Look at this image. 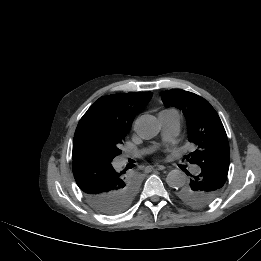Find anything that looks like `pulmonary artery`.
I'll use <instances>...</instances> for the list:
<instances>
[{
	"mask_svg": "<svg viewBox=\"0 0 261 261\" xmlns=\"http://www.w3.org/2000/svg\"><path fill=\"white\" fill-rule=\"evenodd\" d=\"M158 119L162 126V135L165 140L173 138L180 129L181 117L177 110L166 109L159 113ZM198 166H192L191 171L199 172Z\"/></svg>",
	"mask_w": 261,
	"mask_h": 261,
	"instance_id": "e3ab8cb5",
	"label": "pulmonary artery"
}]
</instances>
